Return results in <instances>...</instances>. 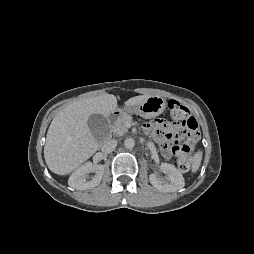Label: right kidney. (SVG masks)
<instances>
[{
	"label": "right kidney",
	"mask_w": 254,
	"mask_h": 254,
	"mask_svg": "<svg viewBox=\"0 0 254 254\" xmlns=\"http://www.w3.org/2000/svg\"><path fill=\"white\" fill-rule=\"evenodd\" d=\"M104 172V166L100 164H92L87 162L75 170L69 180L70 187L77 190H88L96 187L100 184ZM89 173H93L94 176L88 177Z\"/></svg>",
	"instance_id": "obj_1"
}]
</instances>
